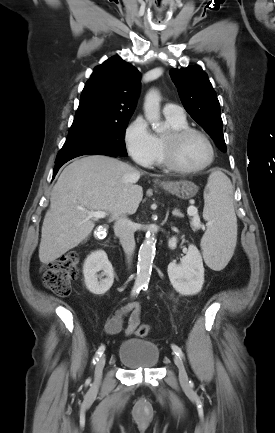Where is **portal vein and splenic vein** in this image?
<instances>
[{
  "instance_id": "18ae733b",
  "label": "portal vein and splenic vein",
  "mask_w": 275,
  "mask_h": 433,
  "mask_svg": "<svg viewBox=\"0 0 275 433\" xmlns=\"http://www.w3.org/2000/svg\"><path fill=\"white\" fill-rule=\"evenodd\" d=\"M86 213L88 214V216L90 218H95V219H102L108 215L107 212H105V211H87L86 210ZM187 214L193 218V220H192L193 225L196 228H200L201 224H200V218L198 215L197 208H195L194 206H190L187 209Z\"/></svg>"
}]
</instances>
